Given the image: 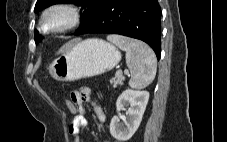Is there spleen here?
I'll list each match as a JSON object with an SVG mask.
<instances>
[{
	"label": "spleen",
	"mask_w": 227,
	"mask_h": 142,
	"mask_svg": "<svg viewBox=\"0 0 227 142\" xmlns=\"http://www.w3.org/2000/svg\"><path fill=\"white\" fill-rule=\"evenodd\" d=\"M107 40L126 52L131 88L143 89L152 83L157 71V59L147 44L121 35H109Z\"/></svg>",
	"instance_id": "spleen-1"
}]
</instances>
